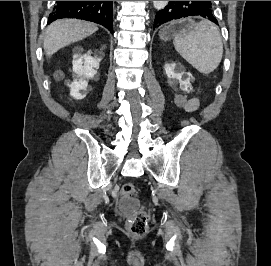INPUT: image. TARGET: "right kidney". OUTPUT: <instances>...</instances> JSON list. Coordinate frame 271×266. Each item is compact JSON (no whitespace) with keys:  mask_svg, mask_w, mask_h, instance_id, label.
I'll return each mask as SVG.
<instances>
[{"mask_svg":"<svg viewBox=\"0 0 271 266\" xmlns=\"http://www.w3.org/2000/svg\"><path fill=\"white\" fill-rule=\"evenodd\" d=\"M101 59L92 57L90 54H75L73 58V72L76 78L68 85L70 95L75 99H83L87 94L88 80L97 74Z\"/></svg>","mask_w":271,"mask_h":266,"instance_id":"obj_1","label":"right kidney"}]
</instances>
